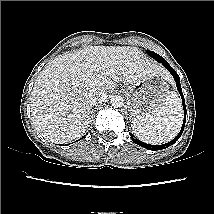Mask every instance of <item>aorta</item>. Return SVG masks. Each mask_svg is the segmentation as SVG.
<instances>
[{"instance_id": "aorta-1", "label": "aorta", "mask_w": 214, "mask_h": 214, "mask_svg": "<svg viewBox=\"0 0 214 214\" xmlns=\"http://www.w3.org/2000/svg\"><path fill=\"white\" fill-rule=\"evenodd\" d=\"M123 101L121 96L115 95L111 98V105L115 108H119L123 105Z\"/></svg>"}]
</instances>
